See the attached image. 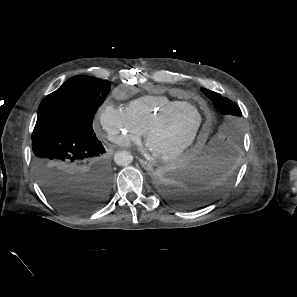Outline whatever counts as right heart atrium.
Segmentation results:
<instances>
[{"label":"right heart atrium","instance_id":"right-heart-atrium-1","mask_svg":"<svg viewBox=\"0 0 297 297\" xmlns=\"http://www.w3.org/2000/svg\"><path fill=\"white\" fill-rule=\"evenodd\" d=\"M97 122L105 138L121 147H128L138 142L142 135L126 111L111 103H105L99 108Z\"/></svg>","mask_w":297,"mask_h":297}]
</instances>
